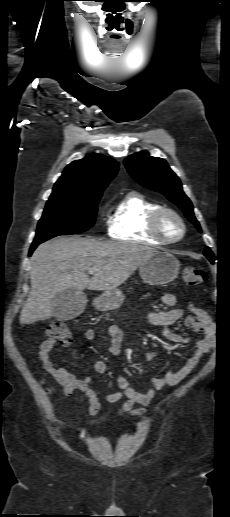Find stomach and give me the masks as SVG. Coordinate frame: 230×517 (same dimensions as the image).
I'll return each instance as SVG.
<instances>
[{"label": "stomach", "mask_w": 230, "mask_h": 517, "mask_svg": "<svg viewBox=\"0 0 230 517\" xmlns=\"http://www.w3.org/2000/svg\"><path fill=\"white\" fill-rule=\"evenodd\" d=\"M180 263L168 252L157 251L139 266V274L145 283L163 285L172 282L179 274ZM125 299L120 289L105 290L95 302L99 310H114Z\"/></svg>", "instance_id": "obj_1"}]
</instances>
